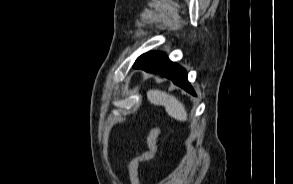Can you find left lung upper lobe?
<instances>
[{"mask_svg":"<svg viewBox=\"0 0 293 184\" xmlns=\"http://www.w3.org/2000/svg\"><path fill=\"white\" fill-rule=\"evenodd\" d=\"M148 56V54L146 53V54H143V55H141L137 60H136V62H135V64L136 63H138L139 61H141V60H143L144 58H146Z\"/></svg>","mask_w":293,"mask_h":184,"instance_id":"5c2ea615","label":"left lung upper lobe"}]
</instances>
